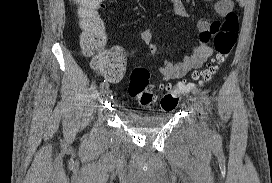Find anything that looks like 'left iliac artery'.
I'll return each mask as SVG.
<instances>
[{
	"instance_id": "44dca946",
	"label": "left iliac artery",
	"mask_w": 272,
	"mask_h": 183,
	"mask_svg": "<svg viewBox=\"0 0 272 183\" xmlns=\"http://www.w3.org/2000/svg\"><path fill=\"white\" fill-rule=\"evenodd\" d=\"M193 94L197 98L201 99L207 106L210 105V99H209V97L204 92H202V91H200L198 89H194L193 90ZM214 133H215V137L218 138L219 135L216 132H214Z\"/></svg>"
}]
</instances>
